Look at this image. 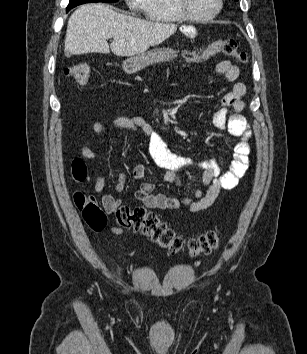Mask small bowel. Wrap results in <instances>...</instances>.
<instances>
[{
  "label": "small bowel",
  "instance_id": "c3829d8e",
  "mask_svg": "<svg viewBox=\"0 0 307 354\" xmlns=\"http://www.w3.org/2000/svg\"><path fill=\"white\" fill-rule=\"evenodd\" d=\"M184 38H195L197 31L190 28L184 31ZM216 72L228 81H235L239 76V69L229 61H222L216 66ZM246 92L243 83H235L231 90L221 99L222 107L217 109L212 116L213 125L220 130H227L231 135L238 137L239 141L234 147V155L229 170L222 173L216 160L196 161L188 157L172 153L161 134L154 127L138 117H117L112 121L115 128L126 129L133 132L141 131L147 137L149 154L155 162L167 170L164 180L167 182L181 183L178 172L188 170L198 172L202 178V187L195 193L194 198L179 199L166 194H153L154 184L143 182L135 192V198L141 201L149 209L173 210L185 205L192 213H196L210 207L226 190L235 188L239 180L244 176L249 164V139L251 131L249 125L242 115L244 103L242 97ZM228 108L232 113L228 114ZM107 128L104 122H94L92 130L103 133ZM81 155L88 160H94L96 153L87 143L81 147ZM147 174L144 165H136L132 170V177L135 180L143 179ZM125 176L121 174L116 185L118 191L122 190L125 184ZM105 188V180L98 176L94 181V189L101 193ZM103 204L109 210L121 204V200L111 195H105Z\"/></svg>",
  "mask_w": 307,
  "mask_h": 354
}]
</instances>
